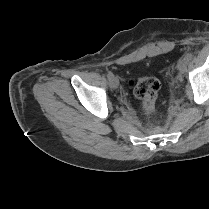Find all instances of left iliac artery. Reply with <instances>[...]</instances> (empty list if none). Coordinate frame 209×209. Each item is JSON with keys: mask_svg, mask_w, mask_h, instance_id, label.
I'll return each instance as SVG.
<instances>
[{"mask_svg": "<svg viewBox=\"0 0 209 209\" xmlns=\"http://www.w3.org/2000/svg\"><path fill=\"white\" fill-rule=\"evenodd\" d=\"M193 58V54L191 52L186 53L184 56V59H186L187 61H190Z\"/></svg>", "mask_w": 209, "mask_h": 209, "instance_id": "44dca946", "label": "left iliac artery"}]
</instances>
